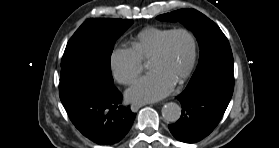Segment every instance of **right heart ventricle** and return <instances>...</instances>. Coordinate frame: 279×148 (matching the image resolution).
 <instances>
[{
    "label": "right heart ventricle",
    "instance_id": "e07e8e85",
    "mask_svg": "<svg viewBox=\"0 0 279 148\" xmlns=\"http://www.w3.org/2000/svg\"><path fill=\"white\" fill-rule=\"evenodd\" d=\"M170 29L148 27L140 31L132 43L133 49L139 54L142 60L149 62L160 42L168 34Z\"/></svg>",
    "mask_w": 279,
    "mask_h": 148
}]
</instances>
